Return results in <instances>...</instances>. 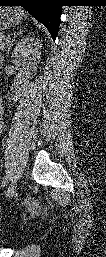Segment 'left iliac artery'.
I'll return each mask as SVG.
<instances>
[{
    "label": "left iliac artery",
    "mask_w": 106,
    "mask_h": 257,
    "mask_svg": "<svg viewBox=\"0 0 106 257\" xmlns=\"http://www.w3.org/2000/svg\"><path fill=\"white\" fill-rule=\"evenodd\" d=\"M7 178L5 177L4 179H3V182H2V187H4L5 185H6V183H7Z\"/></svg>",
    "instance_id": "left-iliac-artery-1"
}]
</instances>
